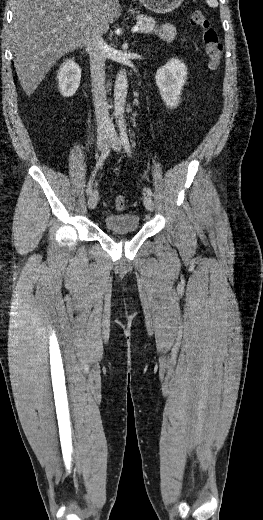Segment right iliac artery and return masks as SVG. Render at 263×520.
Listing matches in <instances>:
<instances>
[{
  "label": "right iliac artery",
  "mask_w": 263,
  "mask_h": 520,
  "mask_svg": "<svg viewBox=\"0 0 263 520\" xmlns=\"http://www.w3.org/2000/svg\"><path fill=\"white\" fill-rule=\"evenodd\" d=\"M109 152H110V149H109V145H106L105 149L102 151L97 163H96V167L94 169V171L92 172V176L90 178V181L88 182V185H87V194L90 195L91 192H92V186H93V181H94V177L96 175V172L97 170L99 169L100 166L103 165L105 159L107 158V156L109 155Z\"/></svg>",
  "instance_id": "82829eb1"
}]
</instances>
